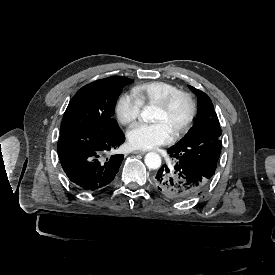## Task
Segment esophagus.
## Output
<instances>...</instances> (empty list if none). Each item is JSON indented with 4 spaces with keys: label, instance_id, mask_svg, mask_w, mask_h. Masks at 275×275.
<instances>
[{
    "label": "esophagus",
    "instance_id": "esophagus-1",
    "mask_svg": "<svg viewBox=\"0 0 275 275\" xmlns=\"http://www.w3.org/2000/svg\"><path fill=\"white\" fill-rule=\"evenodd\" d=\"M132 153H133V154H145L146 151L134 150Z\"/></svg>",
    "mask_w": 275,
    "mask_h": 275
}]
</instances>
